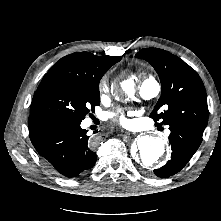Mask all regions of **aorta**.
I'll list each match as a JSON object with an SVG mask.
<instances>
[{
	"mask_svg": "<svg viewBox=\"0 0 221 221\" xmlns=\"http://www.w3.org/2000/svg\"><path fill=\"white\" fill-rule=\"evenodd\" d=\"M121 89L129 96L134 95V83L126 80L121 83ZM166 152L165 141L159 137L143 136L137 139L134 158L144 168L150 169L160 161Z\"/></svg>",
	"mask_w": 221,
	"mask_h": 221,
	"instance_id": "obj_1",
	"label": "aorta"
}]
</instances>
